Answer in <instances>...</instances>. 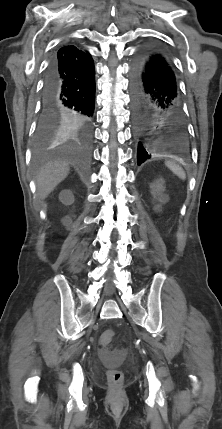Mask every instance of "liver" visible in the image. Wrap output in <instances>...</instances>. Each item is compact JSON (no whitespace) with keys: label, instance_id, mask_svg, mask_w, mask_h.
<instances>
[{"label":"liver","instance_id":"6515ba94","mask_svg":"<svg viewBox=\"0 0 222 429\" xmlns=\"http://www.w3.org/2000/svg\"><path fill=\"white\" fill-rule=\"evenodd\" d=\"M69 173L68 163L53 161L43 165L36 175L37 194L45 199Z\"/></svg>","mask_w":222,"mask_h":429}]
</instances>
